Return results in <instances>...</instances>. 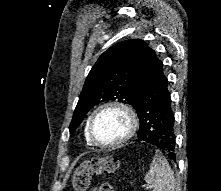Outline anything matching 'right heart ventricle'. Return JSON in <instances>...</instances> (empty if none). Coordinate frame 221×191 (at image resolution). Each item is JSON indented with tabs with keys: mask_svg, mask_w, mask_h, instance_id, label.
Returning a JSON list of instances; mask_svg holds the SVG:
<instances>
[{
	"mask_svg": "<svg viewBox=\"0 0 221 191\" xmlns=\"http://www.w3.org/2000/svg\"><path fill=\"white\" fill-rule=\"evenodd\" d=\"M87 125H88V124H87ZM85 140H86V143H87L88 145H92V142L90 141L89 136H88L87 126H86V128H85Z\"/></svg>",
	"mask_w": 221,
	"mask_h": 191,
	"instance_id": "e07e8e85",
	"label": "right heart ventricle"
}]
</instances>
